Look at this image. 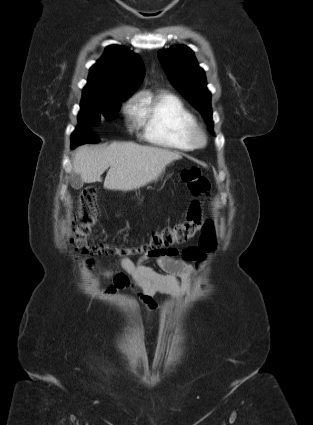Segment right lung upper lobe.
I'll list each match as a JSON object with an SVG mask.
<instances>
[{"label":"right lung upper lobe","mask_w":313,"mask_h":425,"mask_svg":"<svg viewBox=\"0 0 313 425\" xmlns=\"http://www.w3.org/2000/svg\"><path fill=\"white\" fill-rule=\"evenodd\" d=\"M143 76L144 65L138 54L124 46H108L103 56L90 68L82 102L117 93L130 96Z\"/></svg>","instance_id":"right-lung-upper-lobe-1"}]
</instances>
